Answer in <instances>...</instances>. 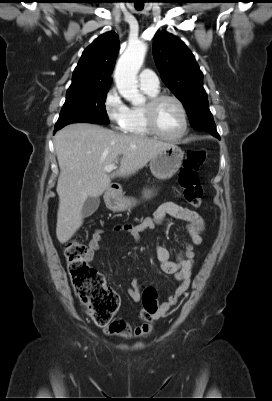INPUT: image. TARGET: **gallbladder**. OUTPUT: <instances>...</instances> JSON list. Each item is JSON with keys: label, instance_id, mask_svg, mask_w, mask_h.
<instances>
[{"label": "gallbladder", "instance_id": "bac80fb5", "mask_svg": "<svg viewBox=\"0 0 272 401\" xmlns=\"http://www.w3.org/2000/svg\"><path fill=\"white\" fill-rule=\"evenodd\" d=\"M100 199L98 197L89 196L84 202L82 215L84 217L91 216L99 207Z\"/></svg>", "mask_w": 272, "mask_h": 401}]
</instances>
